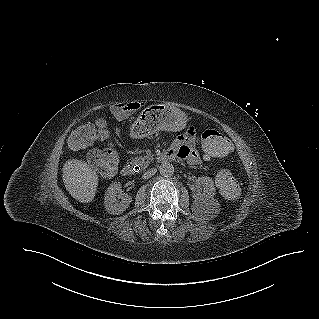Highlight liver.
<instances>
[{
	"label": "liver",
	"mask_w": 319,
	"mask_h": 319,
	"mask_svg": "<svg viewBox=\"0 0 319 319\" xmlns=\"http://www.w3.org/2000/svg\"><path fill=\"white\" fill-rule=\"evenodd\" d=\"M63 182L66 190L77 201L91 202L97 192L98 175L85 161L70 159L62 168Z\"/></svg>",
	"instance_id": "obj_1"
}]
</instances>
